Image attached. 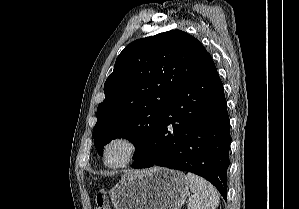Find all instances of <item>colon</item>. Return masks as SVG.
Instances as JSON below:
<instances>
[{"mask_svg": "<svg viewBox=\"0 0 299 209\" xmlns=\"http://www.w3.org/2000/svg\"><path fill=\"white\" fill-rule=\"evenodd\" d=\"M95 209H108L104 203V198L102 191H99L95 197V203H94Z\"/></svg>", "mask_w": 299, "mask_h": 209, "instance_id": "colon-1", "label": "colon"}]
</instances>
